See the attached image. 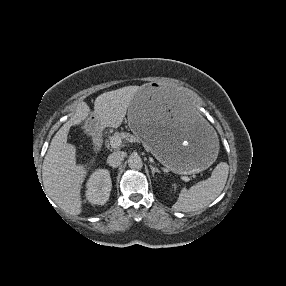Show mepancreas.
<instances>
[{
	"label": "pancreas",
	"instance_id": "pancreas-1",
	"mask_svg": "<svg viewBox=\"0 0 286 286\" xmlns=\"http://www.w3.org/2000/svg\"><path fill=\"white\" fill-rule=\"evenodd\" d=\"M113 137H119L121 140L122 139H132L133 141L139 142V139L137 137L132 136L129 133H124V132H116ZM113 137L110 138V141Z\"/></svg>",
	"mask_w": 286,
	"mask_h": 286
}]
</instances>
